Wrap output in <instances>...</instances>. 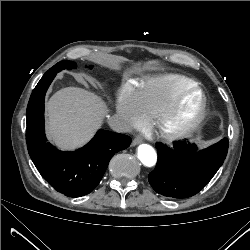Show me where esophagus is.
I'll return each instance as SVG.
<instances>
[{
	"mask_svg": "<svg viewBox=\"0 0 250 250\" xmlns=\"http://www.w3.org/2000/svg\"><path fill=\"white\" fill-rule=\"evenodd\" d=\"M142 142H143V139L140 136H136L132 141V146H136Z\"/></svg>",
	"mask_w": 250,
	"mask_h": 250,
	"instance_id": "obj_1",
	"label": "esophagus"
}]
</instances>
